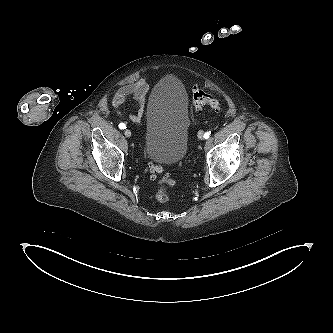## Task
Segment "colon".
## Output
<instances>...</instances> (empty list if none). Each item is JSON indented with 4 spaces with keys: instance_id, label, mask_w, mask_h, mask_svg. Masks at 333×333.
<instances>
[{
    "instance_id": "colon-1",
    "label": "colon",
    "mask_w": 333,
    "mask_h": 333,
    "mask_svg": "<svg viewBox=\"0 0 333 333\" xmlns=\"http://www.w3.org/2000/svg\"><path fill=\"white\" fill-rule=\"evenodd\" d=\"M192 101L196 110L208 107L218 111L221 108V103L215 96L200 88L193 89ZM147 171L152 179H157L160 183L156 193L157 200L160 202L168 201L171 196V188L175 183L174 179L168 173H165L161 166L153 163L148 164Z\"/></svg>"
}]
</instances>
